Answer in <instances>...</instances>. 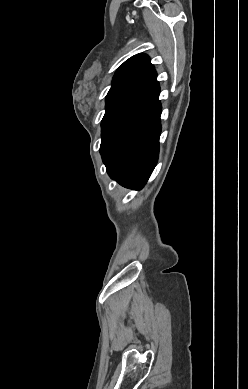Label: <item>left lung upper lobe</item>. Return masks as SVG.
<instances>
[{
	"instance_id": "1",
	"label": "left lung upper lobe",
	"mask_w": 248,
	"mask_h": 389,
	"mask_svg": "<svg viewBox=\"0 0 248 389\" xmlns=\"http://www.w3.org/2000/svg\"><path fill=\"white\" fill-rule=\"evenodd\" d=\"M151 66L149 57L145 54H136L127 59L113 77L112 86L106 96V105Z\"/></svg>"
}]
</instances>
